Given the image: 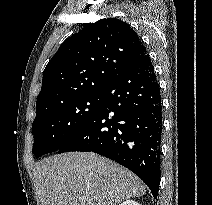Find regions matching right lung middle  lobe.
Masks as SVG:
<instances>
[{
    "label": "right lung middle lobe",
    "instance_id": "1",
    "mask_svg": "<svg viewBox=\"0 0 212 205\" xmlns=\"http://www.w3.org/2000/svg\"><path fill=\"white\" fill-rule=\"evenodd\" d=\"M101 92L63 103L35 118L33 153L36 158L61 148L96 113Z\"/></svg>",
    "mask_w": 212,
    "mask_h": 205
}]
</instances>
